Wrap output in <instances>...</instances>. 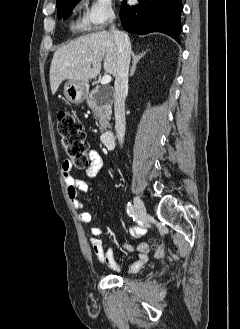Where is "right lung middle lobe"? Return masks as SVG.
<instances>
[{
    "mask_svg": "<svg viewBox=\"0 0 240 329\" xmlns=\"http://www.w3.org/2000/svg\"><path fill=\"white\" fill-rule=\"evenodd\" d=\"M80 0H65L61 3H59L57 5V8H58V18L61 19V18H64L66 19L72 9H73V5L78 3Z\"/></svg>",
    "mask_w": 240,
    "mask_h": 329,
    "instance_id": "1",
    "label": "right lung middle lobe"
}]
</instances>
